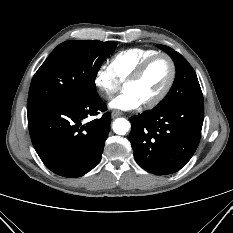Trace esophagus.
Wrapping results in <instances>:
<instances>
[{
  "label": "esophagus",
  "mask_w": 233,
  "mask_h": 233,
  "mask_svg": "<svg viewBox=\"0 0 233 233\" xmlns=\"http://www.w3.org/2000/svg\"><path fill=\"white\" fill-rule=\"evenodd\" d=\"M122 114H123L122 112H120L118 110H114V111H112L111 116H112V118H117V117L121 116Z\"/></svg>",
  "instance_id": "esophagus-1"
}]
</instances>
